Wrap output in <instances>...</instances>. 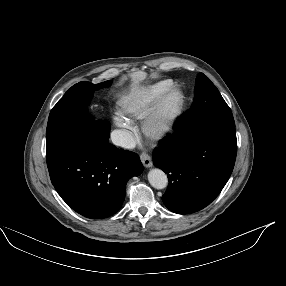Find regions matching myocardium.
I'll use <instances>...</instances> for the list:
<instances>
[{
  "label": "myocardium",
  "instance_id": "f54148a6",
  "mask_svg": "<svg viewBox=\"0 0 286 286\" xmlns=\"http://www.w3.org/2000/svg\"><path fill=\"white\" fill-rule=\"evenodd\" d=\"M177 95V102L173 110L161 117L162 110L168 99ZM185 108V94L178 86L166 90L148 109L143 116L141 130L149 141L157 142L166 138L174 129Z\"/></svg>",
  "mask_w": 286,
  "mask_h": 286
}]
</instances>
